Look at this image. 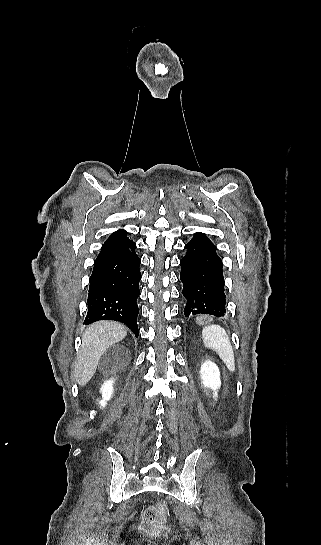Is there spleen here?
<instances>
[{"label": "spleen", "instance_id": "3e777b00", "mask_svg": "<svg viewBox=\"0 0 321 545\" xmlns=\"http://www.w3.org/2000/svg\"><path fill=\"white\" fill-rule=\"evenodd\" d=\"M202 339L205 347L216 351L220 359L225 363L227 369L234 373V351L225 329H222L220 325H207V327H203L202 329Z\"/></svg>", "mask_w": 321, "mask_h": 545}]
</instances>
